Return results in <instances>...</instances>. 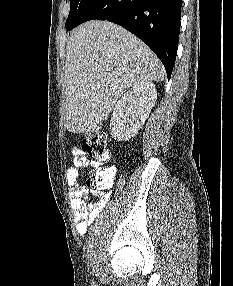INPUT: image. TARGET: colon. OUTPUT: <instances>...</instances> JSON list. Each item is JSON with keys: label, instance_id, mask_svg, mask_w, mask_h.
Masks as SVG:
<instances>
[{"label": "colon", "instance_id": "5ec220e1", "mask_svg": "<svg viewBox=\"0 0 233 286\" xmlns=\"http://www.w3.org/2000/svg\"><path fill=\"white\" fill-rule=\"evenodd\" d=\"M82 151L101 165L106 164L110 157L105 134L101 131L85 136L82 142ZM113 180L114 172L111 166H100L90 172L86 180V187L103 191L111 187Z\"/></svg>", "mask_w": 233, "mask_h": 286}]
</instances>
